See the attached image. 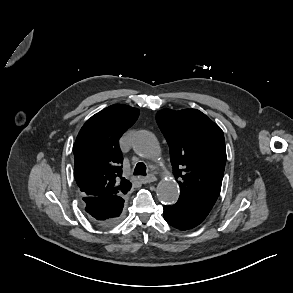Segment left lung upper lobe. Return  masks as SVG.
I'll return each instance as SVG.
<instances>
[{"instance_id": "5c2ea615", "label": "left lung upper lobe", "mask_w": 293, "mask_h": 293, "mask_svg": "<svg viewBox=\"0 0 293 293\" xmlns=\"http://www.w3.org/2000/svg\"><path fill=\"white\" fill-rule=\"evenodd\" d=\"M156 121L169 148L179 199L208 212L221 190L226 162L221 128L196 109L160 110Z\"/></svg>"}]
</instances>
